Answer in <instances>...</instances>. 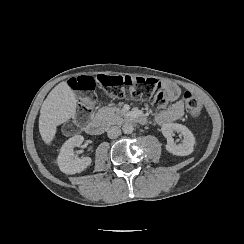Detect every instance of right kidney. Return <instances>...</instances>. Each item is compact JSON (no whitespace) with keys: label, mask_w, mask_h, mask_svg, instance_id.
<instances>
[{"label":"right kidney","mask_w":244,"mask_h":244,"mask_svg":"<svg viewBox=\"0 0 244 244\" xmlns=\"http://www.w3.org/2000/svg\"><path fill=\"white\" fill-rule=\"evenodd\" d=\"M84 141V137L76 135L69 138L61 147L57 164L60 170L65 174H75L82 172L91 164L90 157H74V147L80 146Z\"/></svg>","instance_id":"1"}]
</instances>
